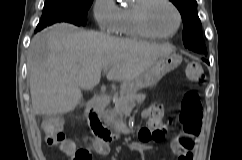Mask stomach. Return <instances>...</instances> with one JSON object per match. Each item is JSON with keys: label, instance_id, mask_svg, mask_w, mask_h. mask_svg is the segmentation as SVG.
<instances>
[{"label": "stomach", "instance_id": "0dacf381", "mask_svg": "<svg viewBox=\"0 0 242 160\" xmlns=\"http://www.w3.org/2000/svg\"><path fill=\"white\" fill-rule=\"evenodd\" d=\"M181 62L182 57L175 53L166 57H161L137 79L123 82L121 84V92L123 94H128L144 88L154 87L165 74L177 68Z\"/></svg>", "mask_w": 242, "mask_h": 160}]
</instances>
